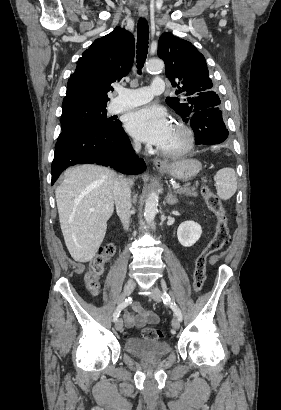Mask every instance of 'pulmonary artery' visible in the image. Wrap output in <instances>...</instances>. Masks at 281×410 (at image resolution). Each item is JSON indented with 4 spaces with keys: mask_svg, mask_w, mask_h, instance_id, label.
Returning <instances> with one entry per match:
<instances>
[{
    "mask_svg": "<svg viewBox=\"0 0 281 410\" xmlns=\"http://www.w3.org/2000/svg\"><path fill=\"white\" fill-rule=\"evenodd\" d=\"M165 90V82L161 78H155L150 86L138 89H128L117 86L118 97L113 101L112 109L115 113L130 110L149 102L156 94Z\"/></svg>",
    "mask_w": 281,
    "mask_h": 410,
    "instance_id": "pulmonary-artery-1",
    "label": "pulmonary artery"
}]
</instances>
